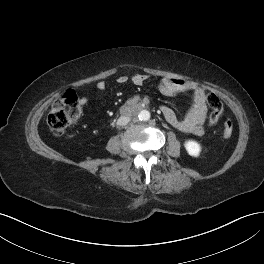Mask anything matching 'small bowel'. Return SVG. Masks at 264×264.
Segmentation results:
<instances>
[{"label":"small bowel","instance_id":"obj_1","mask_svg":"<svg viewBox=\"0 0 264 264\" xmlns=\"http://www.w3.org/2000/svg\"><path fill=\"white\" fill-rule=\"evenodd\" d=\"M148 78V75L140 73L132 76H120L116 79V84L141 86ZM97 88L99 91H105L106 83L99 81ZM158 89L163 95H175L178 93L191 94L192 106L185 117H178L168 106H162L161 112L165 120L177 130L184 133L202 135L204 133V124L208 111L206 106V90L195 82L169 77L163 78L159 82ZM80 102L82 105H86L88 99L82 98Z\"/></svg>","mask_w":264,"mask_h":264}]
</instances>
